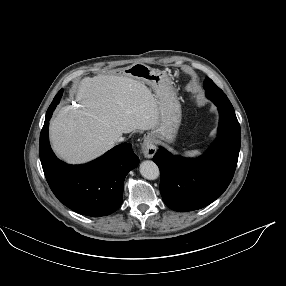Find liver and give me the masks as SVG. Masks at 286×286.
<instances>
[{
	"instance_id": "1",
	"label": "liver",
	"mask_w": 286,
	"mask_h": 286,
	"mask_svg": "<svg viewBox=\"0 0 286 286\" xmlns=\"http://www.w3.org/2000/svg\"><path fill=\"white\" fill-rule=\"evenodd\" d=\"M80 109L64 107L50 123L56 154L69 163H84L109 150L117 137L154 129L160 118L154 94L124 75L84 78L77 89Z\"/></svg>"
}]
</instances>
